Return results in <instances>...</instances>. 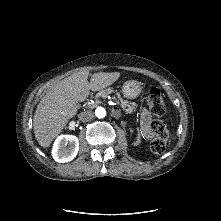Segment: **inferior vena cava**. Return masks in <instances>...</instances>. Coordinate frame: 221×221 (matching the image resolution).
<instances>
[{"mask_svg":"<svg viewBox=\"0 0 221 221\" xmlns=\"http://www.w3.org/2000/svg\"><path fill=\"white\" fill-rule=\"evenodd\" d=\"M79 120L83 122L90 121L94 117V113L92 111H84L79 114Z\"/></svg>","mask_w":221,"mask_h":221,"instance_id":"602c4592","label":"inferior vena cava"}]
</instances>
